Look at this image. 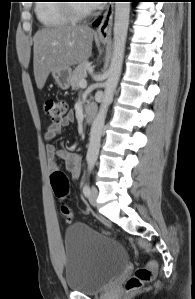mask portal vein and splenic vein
<instances>
[{
    "mask_svg": "<svg viewBox=\"0 0 195 299\" xmlns=\"http://www.w3.org/2000/svg\"><path fill=\"white\" fill-rule=\"evenodd\" d=\"M79 85H80L81 88H84V87L87 86V81H86L85 79H82V80L80 81Z\"/></svg>",
    "mask_w": 195,
    "mask_h": 299,
    "instance_id": "portal-vein-and-splenic-vein-1",
    "label": "portal vein and splenic vein"
}]
</instances>
